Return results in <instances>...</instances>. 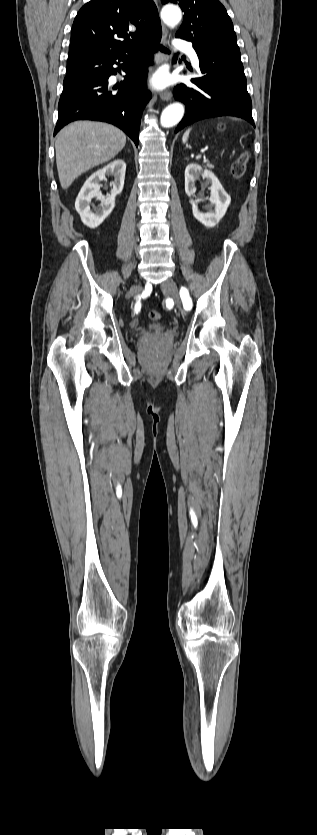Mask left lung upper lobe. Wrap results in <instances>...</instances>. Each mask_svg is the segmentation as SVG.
<instances>
[{
    "instance_id": "obj_1",
    "label": "left lung upper lobe",
    "mask_w": 317,
    "mask_h": 835,
    "mask_svg": "<svg viewBox=\"0 0 317 835\" xmlns=\"http://www.w3.org/2000/svg\"><path fill=\"white\" fill-rule=\"evenodd\" d=\"M178 4L184 11L183 23L176 37L218 48L240 51L233 24L218 0H161Z\"/></svg>"
}]
</instances>
